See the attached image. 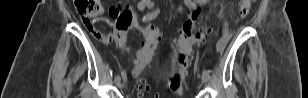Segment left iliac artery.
<instances>
[{"label":"left iliac artery","instance_id":"1","mask_svg":"<svg viewBox=\"0 0 308 98\" xmlns=\"http://www.w3.org/2000/svg\"><path fill=\"white\" fill-rule=\"evenodd\" d=\"M203 75H205L207 77V79L210 78L209 74L206 71H203Z\"/></svg>","mask_w":308,"mask_h":98}]
</instances>
